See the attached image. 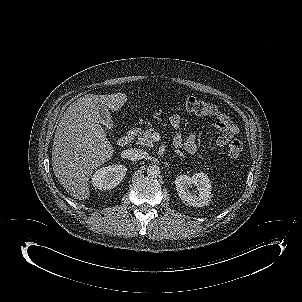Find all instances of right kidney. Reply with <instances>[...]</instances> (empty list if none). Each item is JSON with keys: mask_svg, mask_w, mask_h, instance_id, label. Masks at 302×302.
<instances>
[{"mask_svg": "<svg viewBox=\"0 0 302 302\" xmlns=\"http://www.w3.org/2000/svg\"><path fill=\"white\" fill-rule=\"evenodd\" d=\"M126 168L124 166H120L117 168L114 172H117V176L115 180L108 182V176L111 172V170L107 168H101L97 170L93 176H92V184L94 187L100 189V190H110L117 186L120 181L123 179V177L126 174Z\"/></svg>", "mask_w": 302, "mask_h": 302, "instance_id": "ca27d5eb", "label": "right kidney"}]
</instances>
